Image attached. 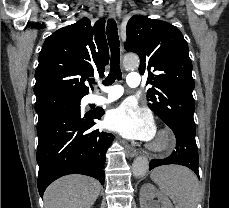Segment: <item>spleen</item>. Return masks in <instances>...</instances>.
<instances>
[{"label":"spleen","instance_id":"spleen-1","mask_svg":"<svg viewBox=\"0 0 229 208\" xmlns=\"http://www.w3.org/2000/svg\"><path fill=\"white\" fill-rule=\"evenodd\" d=\"M152 182L159 186L162 194L171 198L175 208H197L201 194L198 180L184 166H159L150 176Z\"/></svg>","mask_w":229,"mask_h":208}]
</instances>
